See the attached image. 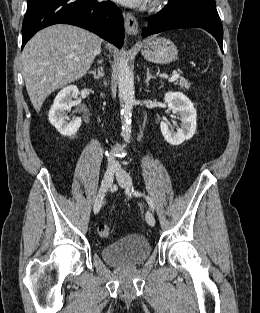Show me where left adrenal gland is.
Wrapping results in <instances>:
<instances>
[{"label":"left adrenal gland","mask_w":260,"mask_h":313,"mask_svg":"<svg viewBox=\"0 0 260 313\" xmlns=\"http://www.w3.org/2000/svg\"><path fill=\"white\" fill-rule=\"evenodd\" d=\"M150 79H156V77L154 75H152L150 73L149 68H147V76H146V80H145V83L147 84V86H149Z\"/></svg>","instance_id":"left-adrenal-gland-1"}]
</instances>
